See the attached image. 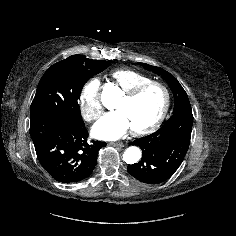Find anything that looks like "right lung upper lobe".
<instances>
[{
  "label": "right lung upper lobe",
  "instance_id": "obj_1",
  "mask_svg": "<svg viewBox=\"0 0 236 236\" xmlns=\"http://www.w3.org/2000/svg\"><path fill=\"white\" fill-rule=\"evenodd\" d=\"M61 62H68V63H75V64H82V65H93L98 63V60L86 59L82 55H73L69 58L62 60Z\"/></svg>",
  "mask_w": 236,
  "mask_h": 236
}]
</instances>
